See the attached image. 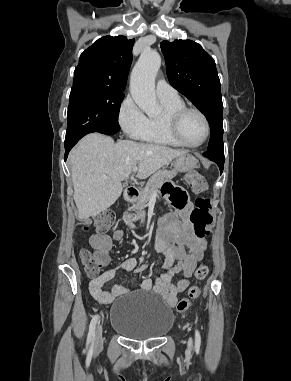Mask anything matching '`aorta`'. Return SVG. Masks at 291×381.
I'll return each mask as SVG.
<instances>
[{"instance_id": "1", "label": "aorta", "mask_w": 291, "mask_h": 381, "mask_svg": "<svg viewBox=\"0 0 291 381\" xmlns=\"http://www.w3.org/2000/svg\"><path fill=\"white\" fill-rule=\"evenodd\" d=\"M161 57L154 50H145L135 64L130 78V92L138 107L149 117L160 113L155 94V77Z\"/></svg>"}]
</instances>
